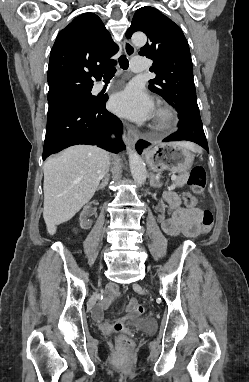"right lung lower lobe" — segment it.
Listing matches in <instances>:
<instances>
[{
	"mask_svg": "<svg viewBox=\"0 0 249 382\" xmlns=\"http://www.w3.org/2000/svg\"><path fill=\"white\" fill-rule=\"evenodd\" d=\"M107 96L95 97L86 107L71 108L47 118L43 160L49 155L77 144L97 145L110 152L118 153L125 146L117 137L122 129L120 120L106 110Z\"/></svg>",
	"mask_w": 249,
	"mask_h": 382,
	"instance_id": "98d812e1",
	"label": "right lung lower lobe"
}]
</instances>
